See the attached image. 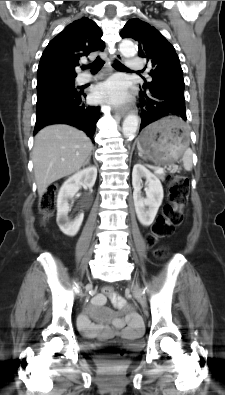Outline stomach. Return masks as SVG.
Here are the masks:
<instances>
[{"label": "stomach", "instance_id": "0dacf381", "mask_svg": "<svg viewBox=\"0 0 225 395\" xmlns=\"http://www.w3.org/2000/svg\"><path fill=\"white\" fill-rule=\"evenodd\" d=\"M137 147L154 162L170 163L188 149V133L178 117L168 116L149 125L141 133Z\"/></svg>", "mask_w": 225, "mask_h": 395}]
</instances>
